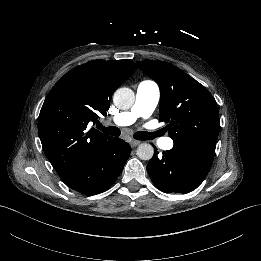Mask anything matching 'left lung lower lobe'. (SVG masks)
<instances>
[{
    "label": "left lung lower lobe",
    "instance_id": "1",
    "mask_svg": "<svg viewBox=\"0 0 261 261\" xmlns=\"http://www.w3.org/2000/svg\"><path fill=\"white\" fill-rule=\"evenodd\" d=\"M215 150L199 144H174L155 156L147 164L153 184L165 193H188L198 187L207 176Z\"/></svg>",
    "mask_w": 261,
    "mask_h": 261
}]
</instances>
